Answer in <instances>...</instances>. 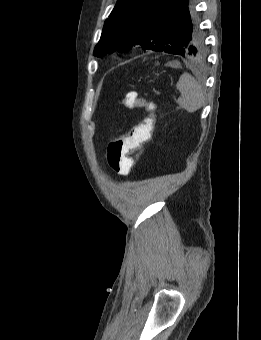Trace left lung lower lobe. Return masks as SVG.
Instances as JSON below:
<instances>
[{
	"label": "left lung lower lobe",
	"instance_id": "0a47b994",
	"mask_svg": "<svg viewBox=\"0 0 261 340\" xmlns=\"http://www.w3.org/2000/svg\"><path fill=\"white\" fill-rule=\"evenodd\" d=\"M193 7L195 8V0H165L161 10L167 13V17L171 16V20H178Z\"/></svg>",
	"mask_w": 261,
	"mask_h": 340
}]
</instances>
